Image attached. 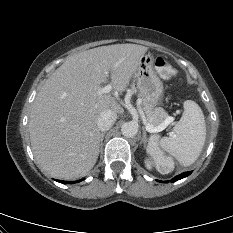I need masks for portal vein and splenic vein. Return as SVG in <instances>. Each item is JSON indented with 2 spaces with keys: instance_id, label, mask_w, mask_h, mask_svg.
I'll return each mask as SVG.
<instances>
[{
  "instance_id": "18ae733b",
  "label": "portal vein and splenic vein",
  "mask_w": 233,
  "mask_h": 233,
  "mask_svg": "<svg viewBox=\"0 0 233 233\" xmlns=\"http://www.w3.org/2000/svg\"><path fill=\"white\" fill-rule=\"evenodd\" d=\"M112 90V86L111 84L106 85L105 87H102L101 89H99L98 93L99 95L101 94H106L109 93ZM170 121H164L161 125H159L158 127H153L152 125H150L149 123L146 122V120L144 121L145 124V129L150 132V133H158L162 130H164Z\"/></svg>"
}]
</instances>
